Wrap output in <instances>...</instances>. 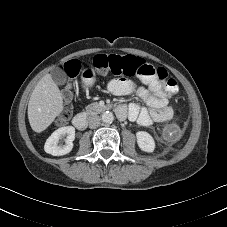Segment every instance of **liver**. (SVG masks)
<instances>
[{
	"label": "liver",
	"mask_w": 227,
	"mask_h": 227,
	"mask_svg": "<svg viewBox=\"0 0 227 227\" xmlns=\"http://www.w3.org/2000/svg\"><path fill=\"white\" fill-rule=\"evenodd\" d=\"M61 92L50 74L43 76L36 84L29 103L28 119L33 131H44L62 112Z\"/></svg>",
	"instance_id": "1"
}]
</instances>
